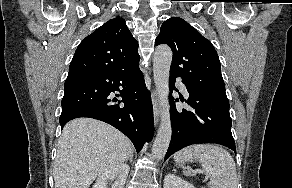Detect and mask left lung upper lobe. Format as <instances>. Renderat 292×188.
<instances>
[{
	"mask_svg": "<svg viewBox=\"0 0 292 188\" xmlns=\"http://www.w3.org/2000/svg\"><path fill=\"white\" fill-rule=\"evenodd\" d=\"M173 51L170 74L196 89L226 96L221 65L212 43L179 17L163 22L155 44Z\"/></svg>",
	"mask_w": 292,
	"mask_h": 188,
	"instance_id": "5c2ea615",
	"label": "left lung upper lobe"
}]
</instances>
